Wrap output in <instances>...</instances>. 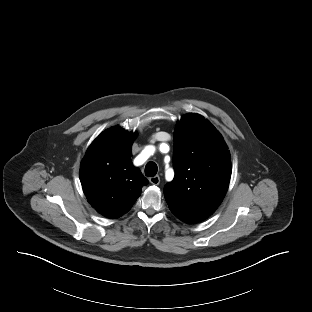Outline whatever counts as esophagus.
Wrapping results in <instances>:
<instances>
[{
    "mask_svg": "<svg viewBox=\"0 0 312 312\" xmlns=\"http://www.w3.org/2000/svg\"><path fill=\"white\" fill-rule=\"evenodd\" d=\"M149 181L153 185H158L160 183V177L159 176H152L149 178Z\"/></svg>",
    "mask_w": 312,
    "mask_h": 312,
    "instance_id": "obj_1",
    "label": "esophagus"
}]
</instances>
